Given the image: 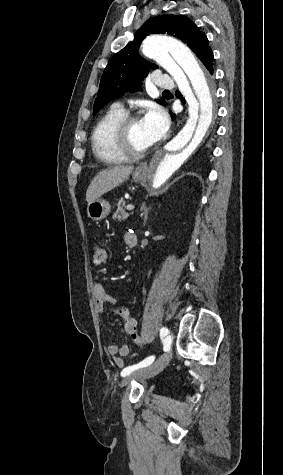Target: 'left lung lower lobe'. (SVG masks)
<instances>
[{"mask_svg":"<svg viewBox=\"0 0 283 475\" xmlns=\"http://www.w3.org/2000/svg\"><path fill=\"white\" fill-rule=\"evenodd\" d=\"M213 60H214V56H213V52H212V50H211V51H209V53H208L207 59L203 62V64L205 65V67L208 69V71H209L211 74H213V66H212ZM172 117L175 118V115L172 114Z\"/></svg>","mask_w":283,"mask_h":475,"instance_id":"obj_1","label":"left lung lower lobe"}]
</instances>
